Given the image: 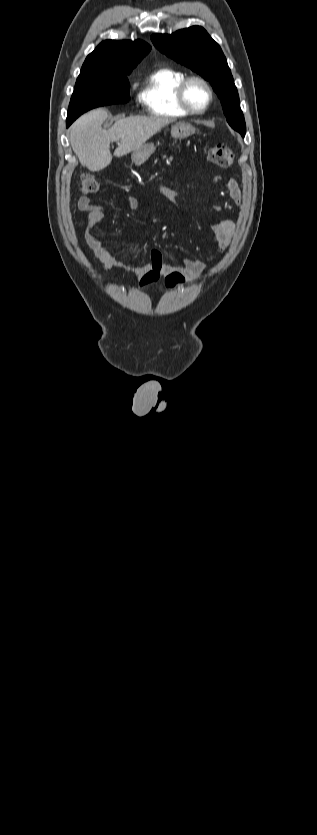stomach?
<instances>
[{"label": "stomach", "mask_w": 317, "mask_h": 835, "mask_svg": "<svg viewBox=\"0 0 317 835\" xmlns=\"http://www.w3.org/2000/svg\"><path fill=\"white\" fill-rule=\"evenodd\" d=\"M194 133L195 128L189 123L179 122L171 127V134L176 139L188 138ZM155 150L156 146L153 143H144L138 150L134 151L132 161L135 164H141L148 160Z\"/></svg>", "instance_id": "1"}]
</instances>
